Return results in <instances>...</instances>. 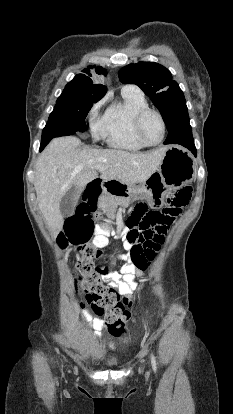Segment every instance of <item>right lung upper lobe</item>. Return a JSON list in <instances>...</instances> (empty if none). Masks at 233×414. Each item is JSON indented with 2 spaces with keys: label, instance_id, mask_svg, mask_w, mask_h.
<instances>
[{
  "label": "right lung upper lobe",
  "instance_id": "cb5924a9",
  "mask_svg": "<svg viewBox=\"0 0 233 414\" xmlns=\"http://www.w3.org/2000/svg\"><path fill=\"white\" fill-rule=\"evenodd\" d=\"M92 68V66H89L82 71L85 74H77L74 79L66 85V87L76 91L90 93L96 98L101 99L105 95L107 87L102 84H96L92 81V74L90 72V69ZM96 73L103 74L104 76L107 75L106 70L101 66L96 67Z\"/></svg>",
  "mask_w": 233,
  "mask_h": 414
}]
</instances>
